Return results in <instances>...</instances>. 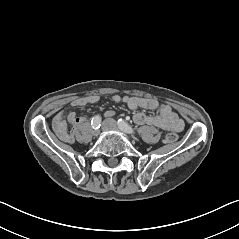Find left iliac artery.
<instances>
[{"label": "left iliac artery", "mask_w": 239, "mask_h": 239, "mask_svg": "<svg viewBox=\"0 0 239 239\" xmlns=\"http://www.w3.org/2000/svg\"><path fill=\"white\" fill-rule=\"evenodd\" d=\"M118 126L122 131H124L128 134L135 133L134 129L128 123H126L123 119L118 120Z\"/></svg>", "instance_id": "obj_1"}]
</instances>
